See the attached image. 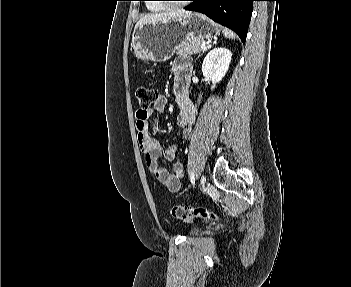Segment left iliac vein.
I'll return each mask as SVG.
<instances>
[{
	"label": "left iliac vein",
	"instance_id": "1",
	"mask_svg": "<svg viewBox=\"0 0 351 287\" xmlns=\"http://www.w3.org/2000/svg\"><path fill=\"white\" fill-rule=\"evenodd\" d=\"M205 183H206V178L204 176H202L201 179H200V185L204 186Z\"/></svg>",
	"mask_w": 351,
	"mask_h": 287
}]
</instances>
